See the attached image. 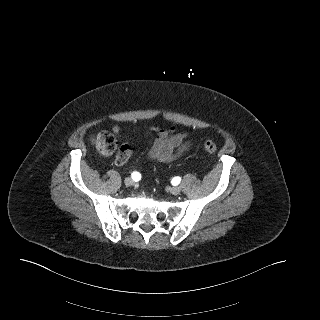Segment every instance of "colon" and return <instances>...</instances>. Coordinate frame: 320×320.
I'll return each mask as SVG.
<instances>
[{
  "instance_id": "obj_1",
  "label": "colon",
  "mask_w": 320,
  "mask_h": 320,
  "mask_svg": "<svg viewBox=\"0 0 320 320\" xmlns=\"http://www.w3.org/2000/svg\"><path fill=\"white\" fill-rule=\"evenodd\" d=\"M97 149L105 155L112 154L117 148V141L113 134L109 132H100L94 139ZM205 151L208 153H215L217 151V145L212 140H205L203 143ZM129 158L127 151L121 147L116 154V162L118 164L124 163Z\"/></svg>"
}]
</instances>
